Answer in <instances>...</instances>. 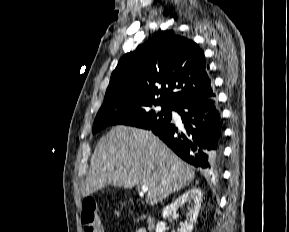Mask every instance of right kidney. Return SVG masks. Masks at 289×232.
<instances>
[{
    "label": "right kidney",
    "mask_w": 289,
    "mask_h": 232,
    "mask_svg": "<svg viewBox=\"0 0 289 232\" xmlns=\"http://www.w3.org/2000/svg\"><path fill=\"white\" fill-rule=\"evenodd\" d=\"M202 196L203 194L199 188L189 189L163 209V218L165 219L172 213H176L179 207L183 206L185 203H188L187 219L181 226L179 232H192L201 207ZM166 230L167 227L165 222L161 221L157 223L156 232H166Z\"/></svg>",
    "instance_id": "obj_1"
}]
</instances>
